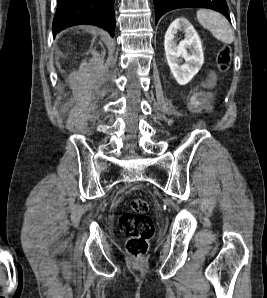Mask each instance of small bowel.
Segmentation results:
<instances>
[{
  "label": "small bowel",
  "mask_w": 267,
  "mask_h": 298,
  "mask_svg": "<svg viewBox=\"0 0 267 298\" xmlns=\"http://www.w3.org/2000/svg\"><path fill=\"white\" fill-rule=\"evenodd\" d=\"M211 82H212V78L210 79L209 83ZM207 104H208L207 96L201 93L194 94L189 100L190 107L196 112L206 108Z\"/></svg>",
  "instance_id": "obj_1"
}]
</instances>
